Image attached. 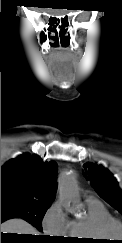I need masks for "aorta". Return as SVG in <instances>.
Listing matches in <instances>:
<instances>
[{
    "mask_svg": "<svg viewBox=\"0 0 122 243\" xmlns=\"http://www.w3.org/2000/svg\"><path fill=\"white\" fill-rule=\"evenodd\" d=\"M59 197L66 211L76 213L79 209V195L75 176L70 172H62L58 179Z\"/></svg>",
    "mask_w": 122,
    "mask_h": 243,
    "instance_id": "aorta-1",
    "label": "aorta"
}]
</instances>
